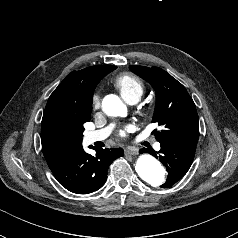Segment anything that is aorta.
<instances>
[{"label": "aorta", "instance_id": "1", "mask_svg": "<svg viewBox=\"0 0 238 238\" xmlns=\"http://www.w3.org/2000/svg\"><path fill=\"white\" fill-rule=\"evenodd\" d=\"M102 107L109 116H121L126 113V107L116 95H108L104 98ZM135 170L139 177L152 187H159L165 182L166 171L160 162L144 153L137 159Z\"/></svg>", "mask_w": 238, "mask_h": 238}]
</instances>
